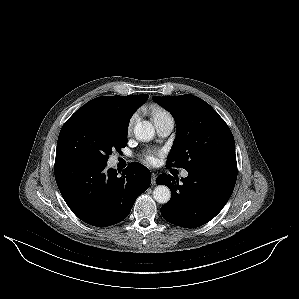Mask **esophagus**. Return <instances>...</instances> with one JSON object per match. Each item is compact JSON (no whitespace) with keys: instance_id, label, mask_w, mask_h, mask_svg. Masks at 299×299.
<instances>
[{"instance_id":"esophagus-1","label":"esophagus","mask_w":299,"mask_h":299,"mask_svg":"<svg viewBox=\"0 0 299 299\" xmlns=\"http://www.w3.org/2000/svg\"><path fill=\"white\" fill-rule=\"evenodd\" d=\"M151 176H152V185H155L157 175H156V173L152 172Z\"/></svg>"}]
</instances>
